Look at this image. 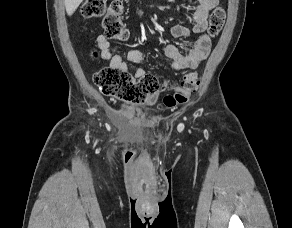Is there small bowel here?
<instances>
[{"mask_svg":"<svg viewBox=\"0 0 292 228\" xmlns=\"http://www.w3.org/2000/svg\"><path fill=\"white\" fill-rule=\"evenodd\" d=\"M217 4L218 0H197L196 4L191 8L192 26L189 28L183 25H175L171 28L170 32L173 37L195 35L191 49L187 53L181 52L174 44L163 46V53L172 60V69L174 71L193 70L208 57L212 43L210 37L206 34L207 18ZM97 44L101 50L102 58L109 62L110 67L127 71L128 65L122 57L111 53V45L106 35H99ZM144 58V53L138 49L131 50L127 55L128 61L136 65H140ZM144 75H146V70L139 68L134 77L139 79ZM155 101L156 95L148 98L147 103L152 105Z\"/></svg>","mask_w":292,"mask_h":228,"instance_id":"obj_1","label":"small bowel"}]
</instances>
